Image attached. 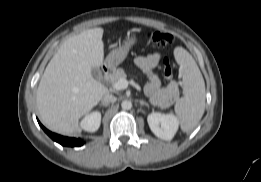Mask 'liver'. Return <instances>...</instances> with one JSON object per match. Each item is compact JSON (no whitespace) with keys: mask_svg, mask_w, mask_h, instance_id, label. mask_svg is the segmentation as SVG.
Segmentation results:
<instances>
[{"mask_svg":"<svg viewBox=\"0 0 261 182\" xmlns=\"http://www.w3.org/2000/svg\"><path fill=\"white\" fill-rule=\"evenodd\" d=\"M103 28H93L67 39L48 63L36 94L43 124L50 130L80 132L79 119L108 88L92 77L104 60Z\"/></svg>","mask_w":261,"mask_h":182,"instance_id":"obj_1","label":"liver"}]
</instances>
